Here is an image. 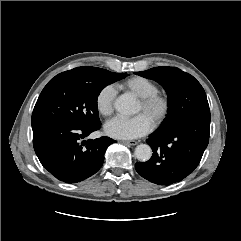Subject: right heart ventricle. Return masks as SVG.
Masks as SVG:
<instances>
[{"mask_svg": "<svg viewBox=\"0 0 241 241\" xmlns=\"http://www.w3.org/2000/svg\"><path fill=\"white\" fill-rule=\"evenodd\" d=\"M118 86L133 93L140 99L158 92L157 85L150 79L142 76L129 78Z\"/></svg>", "mask_w": 241, "mask_h": 241, "instance_id": "1", "label": "right heart ventricle"}]
</instances>
